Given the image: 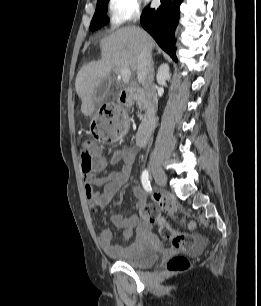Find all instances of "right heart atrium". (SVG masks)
Returning a JSON list of instances; mask_svg holds the SVG:
<instances>
[{"instance_id":"obj_1","label":"right heart atrium","mask_w":261,"mask_h":306,"mask_svg":"<svg viewBox=\"0 0 261 306\" xmlns=\"http://www.w3.org/2000/svg\"><path fill=\"white\" fill-rule=\"evenodd\" d=\"M139 16L138 0H109L108 17L113 28L121 27Z\"/></svg>"}]
</instances>
